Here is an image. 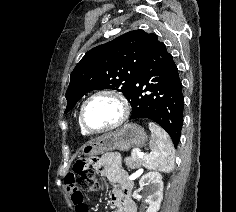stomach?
<instances>
[{
    "mask_svg": "<svg viewBox=\"0 0 236 212\" xmlns=\"http://www.w3.org/2000/svg\"><path fill=\"white\" fill-rule=\"evenodd\" d=\"M148 137L144 129L134 123L123 125L114 132L103 134L91 140L82 148L85 156L92 157L108 151H128L133 147L145 146Z\"/></svg>",
    "mask_w": 236,
    "mask_h": 212,
    "instance_id": "stomach-1",
    "label": "stomach"
}]
</instances>
